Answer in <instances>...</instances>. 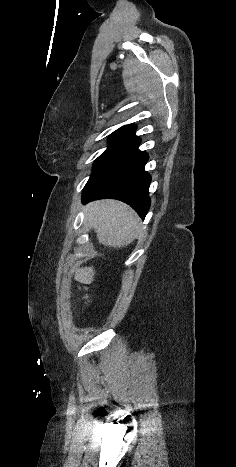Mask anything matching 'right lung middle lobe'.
Returning a JSON list of instances; mask_svg holds the SVG:
<instances>
[{
  "label": "right lung middle lobe",
  "mask_w": 236,
  "mask_h": 467,
  "mask_svg": "<svg viewBox=\"0 0 236 467\" xmlns=\"http://www.w3.org/2000/svg\"><path fill=\"white\" fill-rule=\"evenodd\" d=\"M136 138L138 137L132 131L116 130L113 132L108 139V148L96 159L93 170Z\"/></svg>",
  "instance_id": "obj_1"
}]
</instances>
